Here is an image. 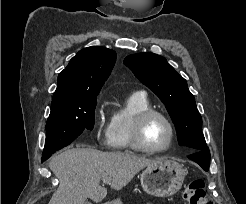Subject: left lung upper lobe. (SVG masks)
I'll use <instances>...</instances> for the list:
<instances>
[{
	"instance_id": "obj_1",
	"label": "left lung upper lobe",
	"mask_w": 246,
	"mask_h": 204,
	"mask_svg": "<svg viewBox=\"0 0 246 204\" xmlns=\"http://www.w3.org/2000/svg\"><path fill=\"white\" fill-rule=\"evenodd\" d=\"M124 64L164 103L176 127L178 142L194 150L207 147L201 130L202 118L186 80L154 53L127 56Z\"/></svg>"
}]
</instances>
